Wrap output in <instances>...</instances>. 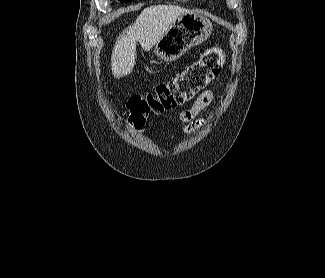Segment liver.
I'll return each instance as SVG.
<instances>
[{
  "instance_id": "obj_1",
  "label": "liver",
  "mask_w": 325,
  "mask_h": 278,
  "mask_svg": "<svg viewBox=\"0 0 325 278\" xmlns=\"http://www.w3.org/2000/svg\"><path fill=\"white\" fill-rule=\"evenodd\" d=\"M190 10L175 5H155L145 8L134 24L117 37L111 55V70L116 78L133 71L136 59V42L149 51L165 34L169 26Z\"/></svg>"
}]
</instances>
